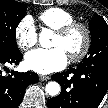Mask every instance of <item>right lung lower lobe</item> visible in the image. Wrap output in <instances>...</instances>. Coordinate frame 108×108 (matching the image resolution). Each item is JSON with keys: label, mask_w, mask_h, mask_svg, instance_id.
Wrapping results in <instances>:
<instances>
[{"label": "right lung lower lobe", "mask_w": 108, "mask_h": 108, "mask_svg": "<svg viewBox=\"0 0 108 108\" xmlns=\"http://www.w3.org/2000/svg\"><path fill=\"white\" fill-rule=\"evenodd\" d=\"M22 58L19 49L16 51L0 49V108H17L24 97L26 88L38 82V75L34 72L12 71L8 76L3 73L6 65H18Z\"/></svg>", "instance_id": "obj_1"}]
</instances>
